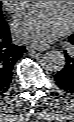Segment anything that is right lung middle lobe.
Here are the masks:
<instances>
[{"label": "right lung middle lobe", "instance_id": "1", "mask_svg": "<svg viewBox=\"0 0 74 122\" xmlns=\"http://www.w3.org/2000/svg\"><path fill=\"white\" fill-rule=\"evenodd\" d=\"M3 22H2V20L0 19V31L3 29Z\"/></svg>", "mask_w": 74, "mask_h": 122}]
</instances>
